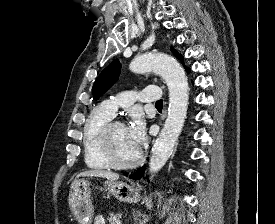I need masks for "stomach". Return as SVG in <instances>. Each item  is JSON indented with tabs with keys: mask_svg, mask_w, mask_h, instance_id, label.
<instances>
[{
	"mask_svg": "<svg viewBox=\"0 0 275 224\" xmlns=\"http://www.w3.org/2000/svg\"><path fill=\"white\" fill-rule=\"evenodd\" d=\"M105 188L122 202L136 203L141 199L139 188L120 181H107ZM69 207L79 224H91L94 207L90 199V182L75 179L70 187Z\"/></svg>",
	"mask_w": 275,
	"mask_h": 224,
	"instance_id": "1",
	"label": "stomach"
}]
</instances>
